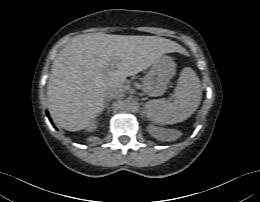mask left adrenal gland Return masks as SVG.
<instances>
[{"mask_svg": "<svg viewBox=\"0 0 260 202\" xmlns=\"http://www.w3.org/2000/svg\"><path fill=\"white\" fill-rule=\"evenodd\" d=\"M144 107H145V105H143V108H142V111H141V114H142L143 117L146 115V111H145Z\"/></svg>", "mask_w": 260, "mask_h": 202, "instance_id": "a2214340", "label": "left adrenal gland"}]
</instances>
